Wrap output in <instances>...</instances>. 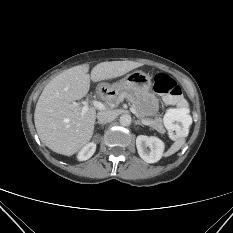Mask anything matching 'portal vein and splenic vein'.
<instances>
[{
  "label": "portal vein and splenic vein",
  "mask_w": 233,
  "mask_h": 233,
  "mask_svg": "<svg viewBox=\"0 0 233 233\" xmlns=\"http://www.w3.org/2000/svg\"><path fill=\"white\" fill-rule=\"evenodd\" d=\"M91 103H92V104L94 105V107L97 108L98 110H103V109L105 108L104 104L101 103L100 101L93 100V101H91ZM80 104L83 105L82 113H81V115L83 116V115L86 113V111L88 110V108H89V102H88V101H82L81 103L74 102L72 105H73V106H78V105H80ZM130 111H131L133 114H135L137 117H139V116L137 115V113H136V111H135L134 108L131 107V108H130ZM142 123L145 124V125H150V124H151L150 121H146V120H142Z\"/></svg>",
  "instance_id": "18ae733b"
}]
</instances>
